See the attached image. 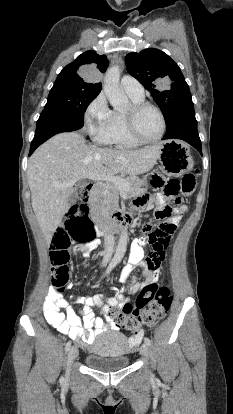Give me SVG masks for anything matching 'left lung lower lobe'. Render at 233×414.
<instances>
[{
	"label": "left lung lower lobe",
	"mask_w": 233,
	"mask_h": 414,
	"mask_svg": "<svg viewBox=\"0 0 233 414\" xmlns=\"http://www.w3.org/2000/svg\"><path fill=\"white\" fill-rule=\"evenodd\" d=\"M167 131L163 140L180 139L195 147L201 154V141L197 131L194 105L189 103L181 107L173 118L166 123Z\"/></svg>",
	"instance_id": "left-lung-lower-lobe-1"
}]
</instances>
